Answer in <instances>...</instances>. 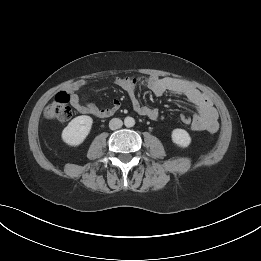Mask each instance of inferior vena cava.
<instances>
[{
    "label": "inferior vena cava",
    "instance_id": "602c4592",
    "mask_svg": "<svg viewBox=\"0 0 261 261\" xmlns=\"http://www.w3.org/2000/svg\"><path fill=\"white\" fill-rule=\"evenodd\" d=\"M122 125H123V122H122V120L119 119V118H113V119H111L110 122H109V128H110L111 130L119 129V128L122 127Z\"/></svg>",
    "mask_w": 261,
    "mask_h": 261
}]
</instances>
